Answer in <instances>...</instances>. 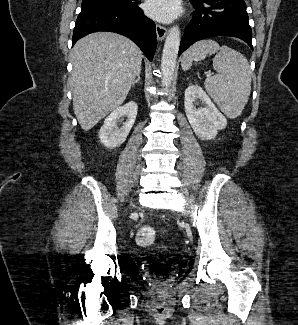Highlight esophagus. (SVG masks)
Returning <instances> with one entry per match:
<instances>
[{"instance_id": "1", "label": "esophagus", "mask_w": 298, "mask_h": 325, "mask_svg": "<svg viewBox=\"0 0 298 325\" xmlns=\"http://www.w3.org/2000/svg\"><path fill=\"white\" fill-rule=\"evenodd\" d=\"M156 33L158 40H163L167 35V29L160 24H156Z\"/></svg>"}]
</instances>
